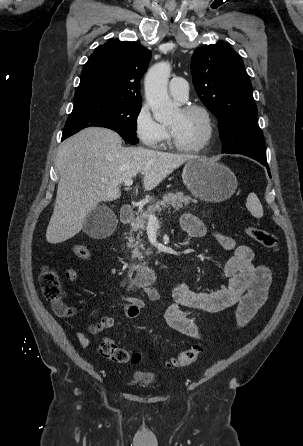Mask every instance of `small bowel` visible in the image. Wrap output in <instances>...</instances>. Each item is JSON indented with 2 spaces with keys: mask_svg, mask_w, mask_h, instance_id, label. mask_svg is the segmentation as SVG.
<instances>
[{
  "mask_svg": "<svg viewBox=\"0 0 303 446\" xmlns=\"http://www.w3.org/2000/svg\"><path fill=\"white\" fill-rule=\"evenodd\" d=\"M181 228L190 238L200 239L212 234L219 243L232 255L221 268V276L227 284L216 290L196 291L185 282H180L173 288L174 303L167 307L165 320L168 325L194 339L202 338L199 326L187 316L186 310L206 313H217L231 307L236 308V321L239 327L245 326L265 303L272 273L269 267L254 262V252L247 245H238L229 236L218 232H210L206 225L192 214L181 217ZM139 288V296L123 295L124 315L128 319L137 318L145 308V301L159 302L161 294L150 284H136L129 290ZM56 315L63 319L72 318L77 314V308L64 303L53 304ZM115 319L105 315L98 322L89 326V332L98 334L112 328ZM75 337L82 347L89 344V339L80 332Z\"/></svg>",
  "mask_w": 303,
  "mask_h": 446,
  "instance_id": "1",
  "label": "small bowel"
}]
</instances>
